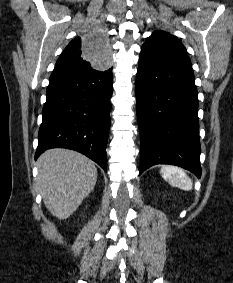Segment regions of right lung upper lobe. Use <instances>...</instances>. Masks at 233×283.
Wrapping results in <instances>:
<instances>
[{
  "instance_id": "obj_1",
  "label": "right lung upper lobe",
  "mask_w": 233,
  "mask_h": 283,
  "mask_svg": "<svg viewBox=\"0 0 233 283\" xmlns=\"http://www.w3.org/2000/svg\"><path fill=\"white\" fill-rule=\"evenodd\" d=\"M115 49H110L106 33L94 29L73 39L58 58L54 71L84 68L96 65V70H107L114 59ZM101 59V60H100Z\"/></svg>"
}]
</instances>
